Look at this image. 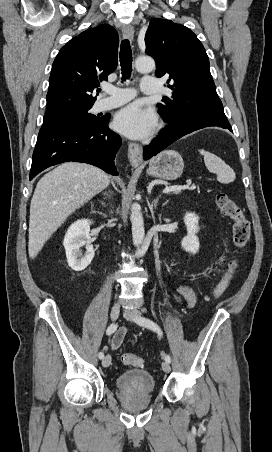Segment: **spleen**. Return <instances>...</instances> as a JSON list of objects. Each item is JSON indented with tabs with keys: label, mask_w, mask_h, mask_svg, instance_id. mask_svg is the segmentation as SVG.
Returning a JSON list of instances; mask_svg holds the SVG:
<instances>
[{
	"label": "spleen",
	"mask_w": 272,
	"mask_h": 452,
	"mask_svg": "<svg viewBox=\"0 0 272 452\" xmlns=\"http://www.w3.org/2000/svg\"><path fill=\"white\" fill-rule=\"evenodd\" d=\"M199 153L204 157L206 168L217 175L220 183L228 184L235 180V172L221 158L204 149L199 150Z\"/></svg>",
	"instance_id": "1"
}]
</instances>
